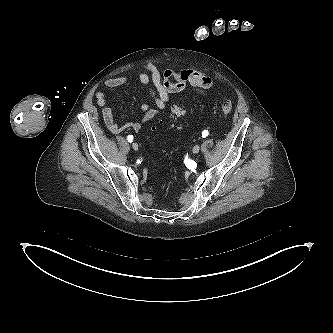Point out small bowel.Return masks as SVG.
<instances>
[{
    "instance_id": "obj_1",
    "label": "small bowel",
    "mask_w": 333,
    "mask_h": 333,
    "mask_svg": "<svg viewBox=\"0 0 333 333\" xmlns=\"http://www.w3.org/2000/svg\"><path fill=\"white\" fill-rule=\"evenodd\" d=\"M139 81L148 87L150 96L154 100L158 109H164L170 101V95L184 90L188 85L192 86L199 95H205L214 81L213 79L194 69H186L180 72L166 70L163 73L153 63H145L137 72ZM129 81L127 76L109 78L105 81V86L114 89L125 85ZM97 104L102 107V116L106 128L113 134L118 135L127 129L136 132L140 131L142 125L157 115V110L150 108L148 103L141 105L144 112L141 122L127 123L120 125L114 118L111 107L108 106L107 95L104 91L96 93Z\"/></svg>"
}]
</instances>
